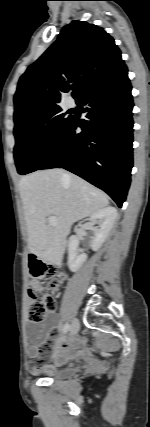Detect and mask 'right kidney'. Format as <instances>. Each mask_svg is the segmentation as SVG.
Segmentation results:
<instances>
[{"label":"right kidney","mask_w":150,"mask_h":427,"mask_svg":"<svg viewBox=\"0 0 150 427\" xmlns=\"http://www.w3.org/2000/svg\"><path fill=\"white\" fill-rule=\"evenodd\" d=\"M117 218V210L113 207H106L92 214L89 218V225L92 227L94 236L91 240V248L97 251L111 231ZM87 260V255L79 249V240L76 236H71L68 242V267L72 272H76Z\"/></svg>","instance_id":"right-kidney-1"}]
</instances>
